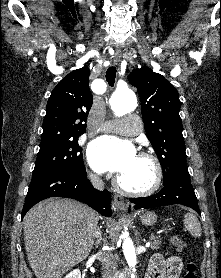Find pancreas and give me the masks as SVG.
<instances>
[{"instance_id": "cf45deb5", "label": "pancreas", "mask_w": 221, "mask_h": 278, "mask_svg": "<svg viewBox=\"0 0 221 278\" xmlns=\"http://www.w3.org/2000/svg\"><path fill=\"white\" fill-rule=\"evenodd\" d=\"M150 240L152 241L150 248L152 250H157L161 244V239L157 236L151 235Z\"/></svg>"}]
</instances>
